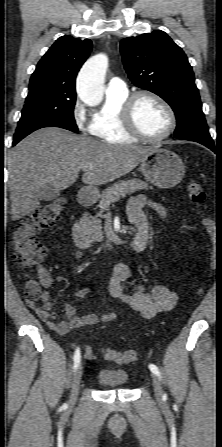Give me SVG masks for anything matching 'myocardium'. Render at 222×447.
I'll use <instances>...</instances> for the list:
<instances>
[{
  "instance_id": "myocardium-1",
  "label": "myocardium",
  "mask_w": 222,
  "mask_h": 447,
  "mask_svg": "<svg viewBox=\"0 0 222 447\" xmlns=\"http://www.w3.org/2000/svg\"><path fill=\"white\" fill-rule=\"evenodd\" d=\"M142 97H149L159 103L168 115V127L160 136L151 137L144 134L135 123L134 109L138 100ZM120 122L123 130L132 137L148 143H158L167 139L174 132L176 128V115L170 104L159 94L150 90H139L127 95L122 102L120 108Z\"/></svg>"
}]
</instances>
